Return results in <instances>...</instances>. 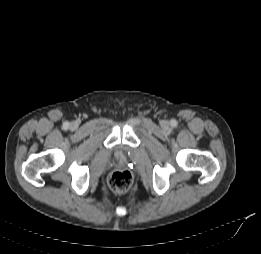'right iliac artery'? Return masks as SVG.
Returning a JSON list of instances; mask_svg holds the SVG:
<instances>
[{
  "mask_svg": "<svg viewBox=\"0 0 261 254\" xmlns=\"http://www.w3.org/2000/svg\"><path fill=\"white\" fill-rule=\"evenodd\" d=\"M69 126V123L68 122H65L64 123V127L67 128Z\"/></svg>",
  "mask_w": 261,
  "mask_h": 254,
  "instance_id": "82829eb1",
  "label": "right iliac artery"
}]
</instances>
